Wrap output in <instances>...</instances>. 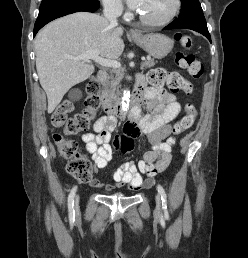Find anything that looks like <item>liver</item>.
<instances>
[{
  "instance_id": "liver-1",
  "label": "liver",
  "mask_w": 248,
  "mask_h": 258,
  "mask_svg": "<svg viewBox=\"0 0 248 258\" xmlns=\"http://www.w3.org/2000/svg\"><path fill=\"white\" fill-rule=\"evenodd\" d=\"M122 34L121 27H111L106 18L88 12L59 18L39 31L35 38L36 68L47 95L48 113L70 88L87 80L95 70L92 64L68 56L97 51L104 59L116 60L124 50Z\"/></svg>"
}]
</instances>
